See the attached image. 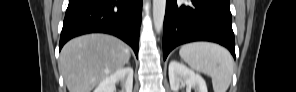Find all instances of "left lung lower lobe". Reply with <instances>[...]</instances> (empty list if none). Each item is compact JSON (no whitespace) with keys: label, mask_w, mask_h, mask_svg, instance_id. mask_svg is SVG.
I'll return each instance as SVG.
<instances>
[{"label":"left lung lower lobe","mask_w":296,"mask_h":92,"mask_svg":"<svg viewBox=\"0 0 296 92\" xmlns=\"http://www.w3.org/2000/svg\"><path fill=\"white\" fill-rule=\"evenodd\" d=\"M229 0H167L163 30V57L176 46L211 41L229 49L235 58V40Z\"/></svg>","instance_id":"1"}]
</instances>
